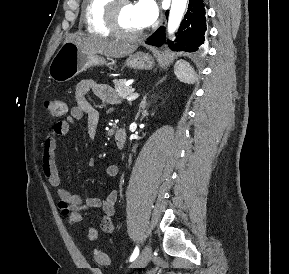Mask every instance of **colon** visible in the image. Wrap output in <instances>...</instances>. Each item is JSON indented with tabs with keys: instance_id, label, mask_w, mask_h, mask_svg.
<instances>
[{
	"instance_id": "colon-1",
	"label": "colon",
	"mask_w": 289,
	"mask_h": 274,
	"mask_svg": "<svg viewBox=\"0 0 289 274\" xmlns=\"http://www.w3.org/2000/svg\"><path fill=\"white\" fill-rule=\"evenodd\" d=\"M45 108L53 118H60L67 112V104L58 99H50L45 101ZM94 261L101 267H106L109 264V258L102 250H95Z\"/></svg>"
}]
</instances>
